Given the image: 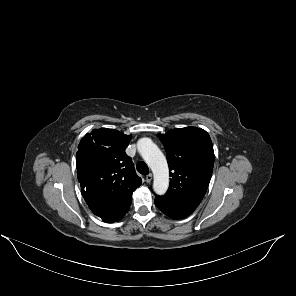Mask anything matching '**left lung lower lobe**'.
Here are the masks:
<instances>
[{"label": "left lung lower lobe", "instance_id": "obj_1", "mask_svg": "<svg viewBox=\"0 0 296 296\" xmlns=\"http://www.w3.org/2000/svg\"><path fill=\"white\" fill-rule=\"evenodd\" d=\"M154 203L164 214H166L172 219H183L189 216L194 211V209H181V208L168 207L161 204L156 199L154 200Z\"/></svg>", "mask_w": 296, "mask_h": 296}]
</instances>
